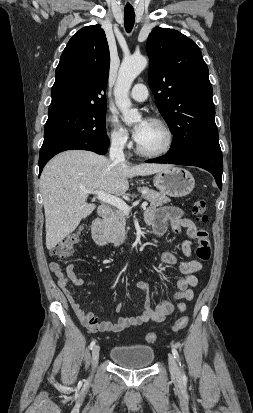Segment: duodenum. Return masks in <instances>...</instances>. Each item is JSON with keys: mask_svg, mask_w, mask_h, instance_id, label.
I'll list each match as a JSON object with an SVG mask.
<instances>
[{"mask_svg": "<svg viewBox=\"0 0 253 413\" xmlns=\"http://www.w3.org/2000/svg\"><path fill=\"white\" fill-rule=\"evenodd\" d=\"M111 208L108 206H101L98 210V217L93 221L91 226L92 238L96 244L106 246L108 238L105 233V221L111 216Z\"/></svg>", "mask_w": 253, "mask_h": 413, "instance_id": "1", "label": "duodenum"}]
</instances>
